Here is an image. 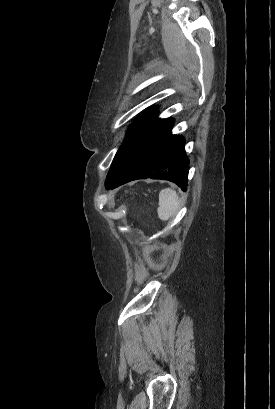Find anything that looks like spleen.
<instances>
[{
	"instance_id": "spleen-1",
	"label": "spleen",
	"mask_w": 275,
	"mask_h": 409,
	"mask_svg": "<svg viewBox=\"0 0 275 409\" xmlns=\"http://www.w3.org/2000/svg\"><path fill=\"white\" fill-rule=\"evenodd\" d=\"M180 209V200L176 190L163 188L159 194L158 217L161 221H169Z\"/></svg>"
}]
</instances>
